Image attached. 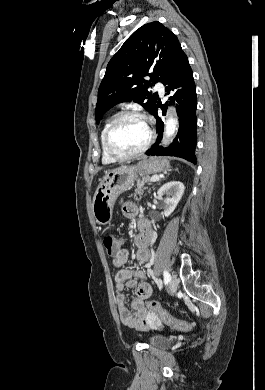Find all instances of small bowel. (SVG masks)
<instances>
[{"label":"small bowel","mask_w":265,"mask_h":390,"mask_svg":"<svg viewBox=\"0 0 265 390\" xmlns=\"http://www.w3.org/2000/svg\"><path fill=\"white\" fill-rule=\"evenodd\" d=\"M123 214L126 218L134 219L139 214V209L134 203H126L123 206ZM139 234L134 242L137 247L135 258L138 262L149 263L152 251L150 249V240L152 236L149 223L141 219L138 222ZM123 238H117L118 250L113 255V265L117 268L115 274L116 307L121 322L131 328H152L161 327L155 316L149 313L146 300L152 295V287L146 281V275L143 271L127 268L125 265L129 260V252L124 248ZM126 288H135V298L131 303L132 311L127 307L126 297L123 291Z\"/></svg>","instance_id":"small-bowel-1"}]
</instances>
